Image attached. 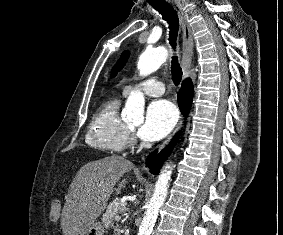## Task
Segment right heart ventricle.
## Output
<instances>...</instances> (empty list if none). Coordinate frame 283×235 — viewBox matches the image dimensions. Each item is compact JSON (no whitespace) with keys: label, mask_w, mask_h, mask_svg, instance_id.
Returning a JSON list of instances; mask_svg holds the SVG:
<instances>
[{"label":"right heart ventricle","mask_w":283,"mask_h":235,"mask_svg":"<svg viewBox=\"0 0 283 235\" xmlns=\"http://www.w3.org/2000/svg\"><path fill=\"white\" fill-rule=\"evenodd\" d=\"M120 99L110 98L96 110L85 141L93 149L119 153L126 147V124L119 116Z\"/></svg>","instance_id":"obj_1"}]
</instances>
